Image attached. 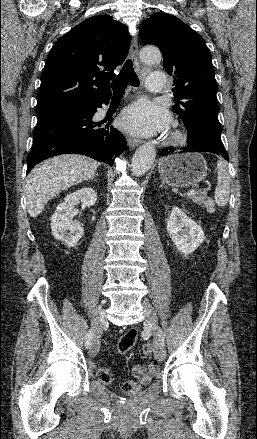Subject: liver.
<instances>
[{
    "label": "liver",
    "mask_w": 257,
    "mask_h": 439,
    "mask_svg": "<svg viewBox=\"0 0 257 439\" xmlns=\"http://www.w3.org/2000/svg\"><path fill=\"white\" fill-rule=\"evenodd\" d=\"M99 165L97 161L86 156L65 154L48 159L33 169L25 186L30 216L37 217L47 202L61 191L89 180Z\"/></svg>",
    "instance_id": "obj_1"
}]
</instances>
